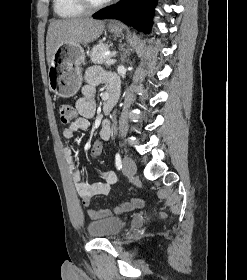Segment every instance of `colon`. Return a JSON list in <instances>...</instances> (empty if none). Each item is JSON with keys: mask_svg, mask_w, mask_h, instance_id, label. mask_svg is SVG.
<instances>
[{"mask_svg": "<svg viewBox=\"0 0 247 280\" xmlns=\"http://www.w3.org/2000/svg\"><path fill=\"white\" fill-rule=\"evenodd\" d=\"M59 116L60 120L64 124H72L76 119L75 109L66 103H63L59 106ZM105 146V141L101 137H96L90 146V155L93 157H98Z\"/></svg>", "mask_w": 247, "mask_h": 280, "instance_id": "colon-1", "label": "colon"}]
</instances>
